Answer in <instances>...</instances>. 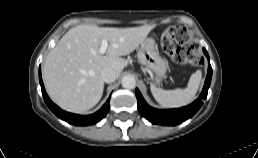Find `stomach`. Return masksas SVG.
<instances>
[{"label": "stomach", "instance_id": "obj_1", "mask_svg": "<svg viewBox=\"0 0 258 158\" xmlns=\"http://www.w3.org/2000/svg\"><path fill=\"white\" fill-rule=\"evenodd\" d=\"M138 61L154 75L155 83H160L167 70L166 61L159 55L153 38L145 39L137 52Z\"/></svg>", "mask_w": 258, "mask_h": 158}]
</instances>
